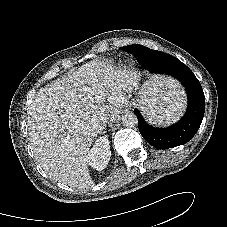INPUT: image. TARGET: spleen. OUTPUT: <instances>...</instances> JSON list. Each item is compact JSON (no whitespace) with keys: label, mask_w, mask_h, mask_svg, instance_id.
I'll return each instance as SVG.
<instances>
[{"label":"spleen","mask_w":227,"mask_h":227,"mask_svg":"<svg viewBox=\"0 0 227 227\" xmlns=\"http://www.w3.org/2000/svg\"><path fill=\"white\" fill-rule=\"evenodd\" d=\"M147 91L141 108L151 123L170 124L182 115L184 104L181 96L183 93L178 89L174 80L156 76Z\"/></svg>","instance_id":"spleen-1"}]
</instances>
